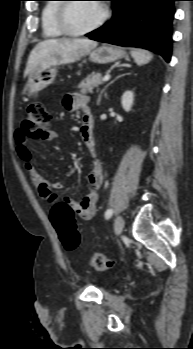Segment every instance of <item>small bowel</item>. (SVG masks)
I'll list each match as a JSON object with an SVG mask.
<instances>
[{"label": "small bowel", "mask_w": 193, "mask_h": 349, "mask_svg": "<svg viewBox=\"0 0 193 349\" xmlns=\"http://www.w3.org/2000/svg\"><path fill=\"white\" fill-rule=\"evenodd\" d=\"M63 106L68 111H76L82 115V124L80 127L81 139L91 155L92 169L87 175L89 191L82 200H77L74 197H60L58 190L63 185L59 182L51 183L43 178L36 170L32 154L28 148L29 138L25 135L22 129L15 132L16 150L19 158L25 165L29 177L42 198L52 206L53 203L64 200L72 206L75 215L83 220H91L96 213V203L98 199V191L102 184L103 173L101 162L96 155L95 139L93 135V123L88 107V97L80 93H69L63 98ZM55 132L49 133L47 138L57 139Z\"/></svg>", "instance_id": "1"}]
</instances>
